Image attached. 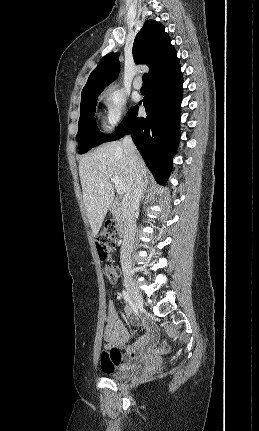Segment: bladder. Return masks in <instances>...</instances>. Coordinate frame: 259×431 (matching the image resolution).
<instances>
[{"mask_svg": "<svg viewBox=\"0 0 259 431\" xmlns=\"http://www.w3.org/2000/svg\"><path fill=\"white\" fill-rule=\"evenodd\" d=\"M139 371V367L137 365L127 366V367H119L113 369L111 371L106 372L108 378L112 380H123L126 379Z\"/></svg>", "mask_w": 259, "mask_h": 431, "instance_id": "31cf9c89", "label": "bladder"}]
</instances>
